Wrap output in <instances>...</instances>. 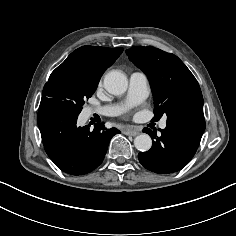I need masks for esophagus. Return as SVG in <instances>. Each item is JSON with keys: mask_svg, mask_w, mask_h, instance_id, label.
I'll list each match as a JSON object with an SVG mask.
<instances>
[{"mask_svg": "<svg viewBox=\"0 0 236 236\" xmlns=\"http://www.w3.org/2000/svg\"><path fill=\"white\" fill-rule=\"evenodd\" d=\"M124 134L125 135H130V136H136L139 134L138 131H135V130H128V131H124Z\"/></svg>", "mask_w": 236, "mask_h": 236, "instance_id": "obj_1", "label": "esophagus"}]
</instances>
